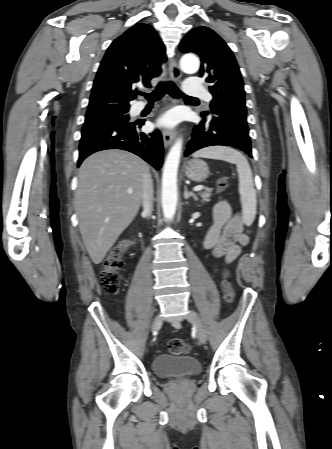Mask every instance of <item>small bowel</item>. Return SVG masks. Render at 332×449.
Instances as JSON below:
<instances>
[{
    "label": "small bowel",
    "instance_id": "1",
    "mask_svg": "<svg viewBox=\"0 0 332 449\" xmlns=\"http://www.w3.org/2000/svg\"><path fill=\"white\" fill-rule=\"evenodd\" d=\"M247 242L248 234L238 213L233 212L226 201L218 202L214 208L213 224L206 236L205 247L215 257L233 261Z\"/></svg>",
    "mask_w": 332,
    "mask_h": 449
}]
</instances>
